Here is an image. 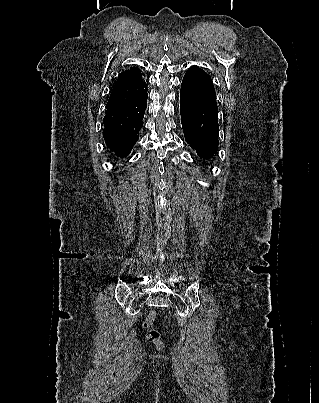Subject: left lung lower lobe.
<instances>
[{"mask_svg": "<svg viewBox=\"0 0 319 403\" xmlns=\"http://www.w3.org/2000/svg\"><path fill=\"white\" fill-rule=\"evenodd\" d=\"M181 122L186 142L203 159L218 150V107L211 77L198 67L186 72L180 92Z\"/></svg>", "mask_w": 319, "mask_h": 403, "instance_id": "left-lung-lower-lobe-1", "label": "left lung lower lobe"}]
</instances>
